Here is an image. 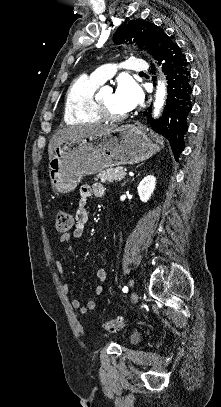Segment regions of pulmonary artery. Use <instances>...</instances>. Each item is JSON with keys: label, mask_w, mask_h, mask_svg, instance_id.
I'll use <instances>...</instances> for the list:
<instances>
[{"label": "pulmonary artery", "mask_w": 221, "mask_h": 407, "mask_svg": "<svg viewBox=\"0 0 221 407\" xmlns=\"http://www.w3.org/2000/svg\"><path fill=\"white\" fill-rule=\"evenodd\" d=\"M116 68L122 69L130 73H143L147 71L148 65L137 58H129L120 65L105 64L91 72L90 76L99 84H103L114 74Z\"/></svg>", "instance_id": "obj_1"}]
</instances>
